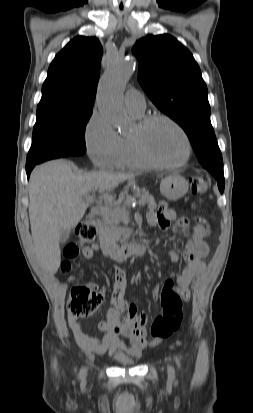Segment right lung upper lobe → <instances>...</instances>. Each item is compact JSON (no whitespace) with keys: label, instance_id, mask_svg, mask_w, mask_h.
I'll return each mask as SVG.
<instances>
[{"label":"right lung upper lobe","instance_id":"cb5924a9","mask_svg":"<svg viewBox=\"0 0 253 413\" xmlns=\"http://www.w3.org/2000/svg\"><path fill=\"white\" fill-rule=\"evenodd\" d=\"M102 52L96 37L77 36L72 39L49 66L37 114L92 110Z\"/></svg>","mask_w":253,"mask_h":413}]
</instances>
